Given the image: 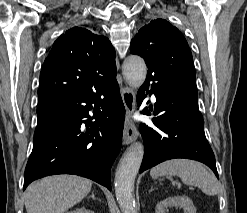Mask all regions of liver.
<instances>
[{"label":"liver","instance_id":"liver-1","mask_svg":"<svg viewBox=\"0 0 247 213\" xmlns=\"http://www.w3.org/2000/svg\"><path fill=\"white\" fill-rule=\"evenodd\" d=\"M92 181L75 175L45 177L25 192L27 213H64L91 190Z\"/></svg>","mask_w":247,"mask_h":213}]
</instances>
